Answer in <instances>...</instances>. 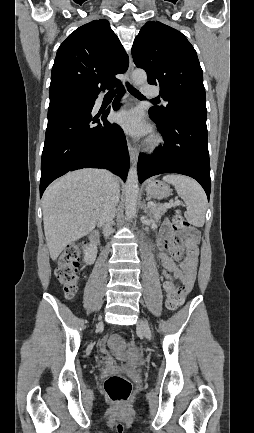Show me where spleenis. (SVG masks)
<instances>
[{
	"mask_svg": "<svg viewBox=\"0 0 254 433\" xmlns=\"http://www.w3.org/2000/svg\"><path fill=\"white\" fill-rule=\"evenodd\" d=\"M163 180L174 185L177 194L187 205L184 214L187 221L196 227H202L207 210V197L202 187L195 180L182 175L169 174Z\"/></svg>",
	"mask_w": 254,
	"mask_h": 433,
	"instance_id": "1",
	"label": "spleen"
}]
</instances>
